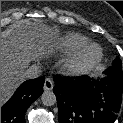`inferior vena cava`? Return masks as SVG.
I'll return each instance as SVG.
<instances>
[{
  "mask_svg": "<svg viewBox=\"0 0 123 123\" xmlns=\"http://www.w3.org/2000/svg\"><path fill=\"white\" fill-rule=\"evenodd\" d=\"M42 70L39 65H31L25 72L23 73V78L26 79H34L40 76Z\"/></svg>",
  "mask_w": 123,
  "mask_h": 123,
  "instance_id": "1",
  "label": "inferior vena cava"
}]
</instances>
